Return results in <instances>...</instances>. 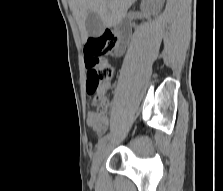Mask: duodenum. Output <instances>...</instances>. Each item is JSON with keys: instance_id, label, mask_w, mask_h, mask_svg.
<instances>
[{"instance_id": "1", "label": "duodenum", "mask_w": 223, "mask_h": 191, "mask_svg": "<svg viewBox=\"0 0 223 191\" xmlns=\"http://www.w3.org/2000/svg\"><path fill=\"white\" fill-rule=\"evenodd\" d=\"M117 32L124 38L129 34V25L126 19H123L117 26ZM121 51V50H120Z\"/></svg>"}]
</instances>
